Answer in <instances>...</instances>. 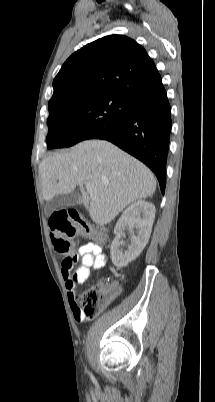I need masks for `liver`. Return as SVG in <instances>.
<instances>
[{
  "instance_id": "6515ba94",
  "label": "liver",
  "mask_w": 215,
  "mask_h": 402,
  "mask_svg": "<svg viewBox=\"0 0 215 402\" xmlns=\"http://www.w3.org/2000/svg\"><path fill=\"white\" fill-rule=\"evenodd\" d=\"M39 173L44 200L71 193L79 186L85 208L101 227L126 206L156 190L155 177L144 164L103 140L83 141L68 152L45 158ZM86 183L94 185L96 198L85 192Z\"/></svg>"
}]
</instances>
